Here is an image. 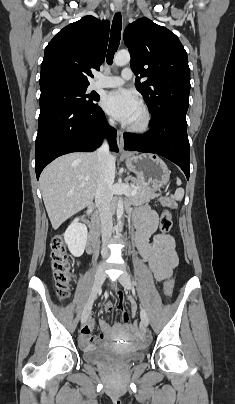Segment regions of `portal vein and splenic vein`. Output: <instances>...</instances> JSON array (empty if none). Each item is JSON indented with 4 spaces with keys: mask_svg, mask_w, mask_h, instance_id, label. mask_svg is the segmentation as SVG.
<instances>
[{
    "mask_svg": "<svg viewBox=\"0 0 235 404\" xmlns=\"http://www.w3.org/2000/svg\"><path fill=\"white\" fill-rule=\"evenodd\" d=\"M136 193H137V191H136V189H134V190L131 191L130 195L134 196Z\"/></svg>",
    "mask_w": 235,
    "mask_h": 404,
    "instance_id": "obj_1",
    "label": "portal vein and splenic vein"
}]
</instances>
